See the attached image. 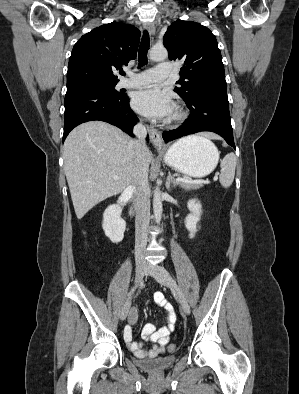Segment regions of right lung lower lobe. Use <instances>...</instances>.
<instances>
[{
    "label": "right lung lower lobe",
    "mask_w": 299,
    "mask_h": 394,
    "mask_svg": "<svg viewBox=\"0 0 299 394\" xmlns=\"http://www.w3.org/2000/svg\"><path fill=\"white\" fill-rule=\"evenodd\" d=\"M64 106L63 140L77 125L92 120L108 122L134 136L133 126L138 122V118L131 110L126 94H117L104 87L68 89Z\"/></svg>",
    "instance_id": "right-lung-lower-lobe-1"
}]
</instances>
